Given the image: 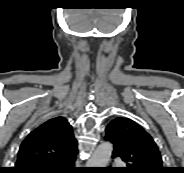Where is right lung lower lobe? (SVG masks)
<instances>
[{"instance_id": "98d812e1", "label": "right lung lower lobe", "mask_w": 184, "mask_h": 173, "mask_svg": "<svg viewBox=\"0 0 184 173\" xmlns=\"http://www.w3.org/2000/svg\"><path fill=\"white\" fill-rule=\"evenodd\" d=\"M75 160L76 155L45 170L32 171L30 173H81V170L74 166Z\"/></svg>"}]
</instances>
